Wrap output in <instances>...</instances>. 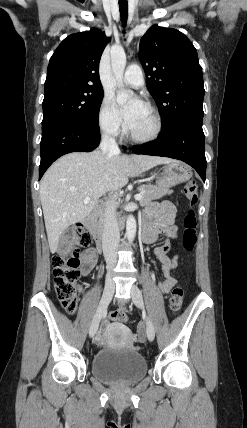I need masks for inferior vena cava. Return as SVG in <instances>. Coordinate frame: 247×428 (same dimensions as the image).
Segmentation results:
<instances>
[{
  "label": "inferior vena cava",
  "mask_w": 247,
  "mask_h": 428,
  "mask_svg": "<svg viewBox=\"0 0 247 428\" xmlns=\"http://www.w3.org/2000/svg\"><path fill=\"white\" fill-rule=\"evenodd\" d=\"M100 148L104 156L120 154L119 147L115 139L108 133L102 135ZM120 233L117 224L115 207L113 202L105 203L104 230L102 235L103 254L107 263V268H112L117 262V248L119 245Z\"/></svg>",
  "instance_id": "obj_1"
}]
</instances>
